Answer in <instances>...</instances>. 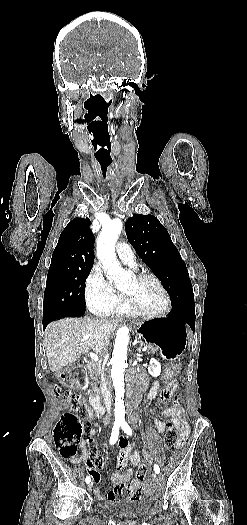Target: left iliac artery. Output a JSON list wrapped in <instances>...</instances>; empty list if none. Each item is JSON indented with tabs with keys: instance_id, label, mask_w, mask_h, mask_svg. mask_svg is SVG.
I'll list each match as a JSON object with an SVG mask.
<instances>
[{
	"instance_id": "44dca946",
	"label": "left iliac artery",
	"mask_w": 247,
	"mask_h": 525,
	"mask_svg": "<svg viewBox=\"0 0 247 525\" xmlns=\"http://www.w3.org/2000/svg\"><path fill=\"white\" fill-rule=\"evenodd\" d=\"M121 427H122L123 431H124L126 434H128V435H132V430H131V428H130V426L128 425L127 422L122 421V422H121ZM154 471H155L157 474H159V472H160V468H159V466H158L157 464H154Z\"/></svg>"
}]
</instances>
